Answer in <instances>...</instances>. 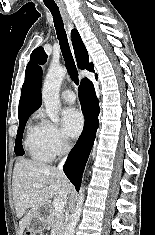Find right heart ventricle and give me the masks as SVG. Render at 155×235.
I'll use <instances>...</instances> for the list:
<instances>
[{
    "label": "right heart ventricle",
    "mask_w": 155,
    "mask_h": 235,
    "mask_svg": "<svg viewBox=\"0 0 155 235\" xmlns=\"http://www.w3.org/2000/svg\"><path fill=\"white\" fill-rule=\"evenodd\" d=\"M25 145L30 157L35 161L48 162L53 157L42 141L38 125L29 126Z\"/></svg>",
    "instance_id": "right-heart-ventricle-1"
}]
</instances>
